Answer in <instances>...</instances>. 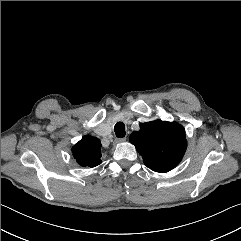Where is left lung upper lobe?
I'll use <instances>...</instances> for the list:
<instances>
[{"label": "left lung upper lobe", "mask_w": 241, "mask_h": 241, "mask_svg": "<svg viewBox=\"0 0 241 241\" xmlns=\"http://www.w3.org/2000/svg\"><path fill=\"white\" fill-rule=\"evenodd\" d=\"M129 141L142 155L145 165L161 173L176 167L187 147L183 126L160 120L141 124Z\"/></svg>", "instance_id": "1"}]
</instances>
